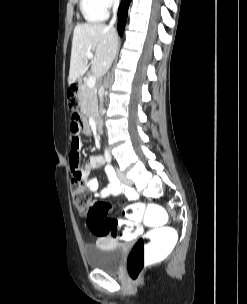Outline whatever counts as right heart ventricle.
I'll return each instance as SVG.
<instances>
[{
    "mask_svg": "<svg viewBox=\"0 0 247 304\" xmlns=\"http://www.w3.org/2000/svg\"><path fill=\"white\" fill-rule=\"evenodd\" d=\"M80 10L84 19L90 23L104 21L108 15L98 0H80Z\"/></svg>",
    "mask_w": 247,
    "mask_h": 304,
    "instance_id": "right-heart-ventricle-1",
    "label": "right heart ventricle"
}]
</instances>
